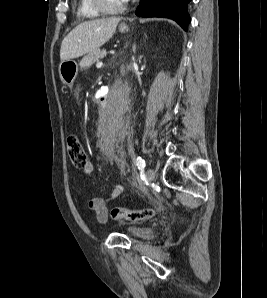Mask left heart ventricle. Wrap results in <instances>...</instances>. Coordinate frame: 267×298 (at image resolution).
<instances>
[{
    "instance_id": "obj_1",
    "label": "left heart ventricle",
    "mask_w": 267,
    "mask_h": 298,
    "mask_svg": "<svg viewBox=\"0 0 267 298\" xmlns=\"http://www.w3.org/2000/svg\"><path fill=\"white\" fill-rule=\"evenodd\" d=\"M106 2L110 7H113V8L119 7L124 3L122 0H106Z\"/></svg>"
}]
</instances>
